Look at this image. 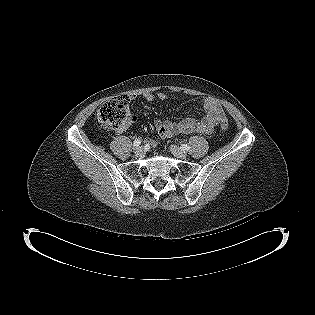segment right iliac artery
Segmentation results:
<instances>
[{"instance_id":"right-iliac-artery-1","label":"right iliac artery","mask_w":315,"mask_h":315,"mask_svg":"<svg viewBox=\"0 0 315 315\" xmlns=\"http://www.w3.org/2000/svg\"><path fill=\"white\" fill-rule=\"evenodd\" d=\"M141 144V140L140 139H136L134 142H133V146L137 147Z\"/></svg>"}]
</instances>
